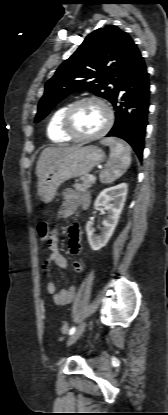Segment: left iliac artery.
Segmentation results:
<instances>
[{"label": "left iliac artery", "mask_w": 168, "mask_h": 415, "mask_svg": "<svg viewBox=\"0 0 168 415\" xmlns=\"http://www.w3.org/2000/svg\"><path fill=\"white\" fill-rule=\"evenodd\" d=\"M75 330H76V327H75V326H73V327L70 329L69 334H70V335H72V334L75 332Z\"/></svg>", "instance_id": "1"}]
</instances>
